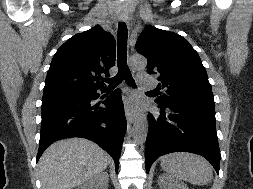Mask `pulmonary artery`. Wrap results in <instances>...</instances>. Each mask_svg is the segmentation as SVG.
I'll return each instance as SVG.
<instances>
[{
  "label": "pulmonary artery",
  "mask_w": 253,
  "mask_h": 189,
  "mask_svg": "<svg viewBox=\"0 0 253 189\" xmlns=\"http://www.w3.org/2000/svg\"><path fill=\"white\" fill-rule=\"evenodd\" d=\"M138 81H139L140 85L143 87H153L155 84L153 77L148 74L139 75Z\"/></svg>",
  "instance_id": "1"
}]
</instances>
